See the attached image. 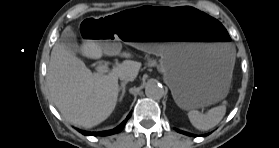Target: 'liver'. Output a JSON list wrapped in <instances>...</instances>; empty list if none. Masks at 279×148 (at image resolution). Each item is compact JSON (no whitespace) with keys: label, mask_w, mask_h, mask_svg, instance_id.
Segmentation results:
<instances>
[{"label":"liver","mask_w":279,"mask_h":148,"mask_svg":"<svg viewBox=\"0 0 279 148\" xmlns=\"http://www.w3.org/2000/svg\"><path fill=\"white\" fill-rule=\"evenodd\" d=\"M83 56L99 59L103 53L131 58L129 52L105 50L94 42L81 48ZM141 63L124 60L106 75L95 73L84 62L56 42L47 69V84L50 97L66 121L76 126L92 128L106 120L117 104L118 78L137 77Z\"/></svg>","instance_id":"liver-1"}]
</instances>
